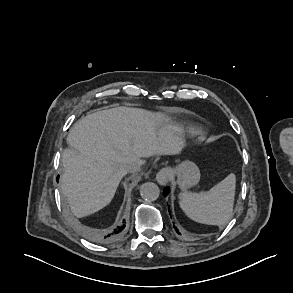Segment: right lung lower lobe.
<instances>
[{
    "instance_id": "right-lung-lower-lobe-1",
    "label": "right lung lower lobe",
    "mask_w": 293,
    "mask_h": 293,
    "mask_svg": "<svg viewBox=\"0 0 293 293\" xmlns=\"http://www.w3.org/2000/svg\"><path fill=\"white\" fill-rule=\"evenodd\" d=\"M125 228V222L123 221V223L120 226H117L112 233L104 236V241L105 242H113L115 240H117L123 233Z\"/></svg>"
}]
</instances>
